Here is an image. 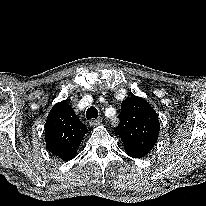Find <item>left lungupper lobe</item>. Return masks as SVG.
Returning <instances> with one entry per match:
<instances>
[{
  "instance_id": "left-lung-upper-lobe-1",
  "label": "left lung upper lobe",
  "mask_w": 206,
  "mask_h": 206,
  "mask_svg": "<svg viewBox=\"0 0 206 206\" xmlns=\"http://www.w3.org/2000/svg\"><path fill=\"white\" fill-rule=\"evenodd\" d=\"M120 124L115 128L125 151L148 154L157 142L160 123L150 104L140 97H128L121 103Z\"/></svg>"
}]
</instances>
